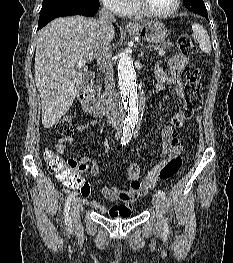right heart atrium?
I'll return each mask as SVG.
<instances>
[{"label": "right heart atrium", "mask_w": 233, "mask_h": 263, "mask_svg": "<svg viewBox=\"0 0 233 263\" xmlns=\"http://www.w3.org/2000/svg\"><path fill=\"white\" fill-rule=\"evenodd\" d=\"M109 10L121 14L127 7L129 0H100Z\"/></svg>", "instance_id": "d8ad5b80"}]
</instances>
